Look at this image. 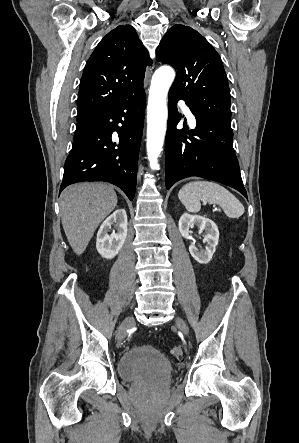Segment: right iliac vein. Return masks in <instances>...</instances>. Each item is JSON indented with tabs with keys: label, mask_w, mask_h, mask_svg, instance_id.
Listing matches in <instances>:
<instances>
[{
	"label": "right iliac vein",
	"mask_w": 299,
	"mask_h": 443,
	"mask_svg": "<svg viewBox=\"0 0 299 443\" xmlns=\"http://www.w3.org/2000/svg\"><path fill=\"white\" fill-rule=\"evenodd\" d=\"M135 324V320L132 316L127 317L118 330V342H122L126 337L127 330Z\"/></svg>",
	"instance_id": "1"
}]
</instances>
